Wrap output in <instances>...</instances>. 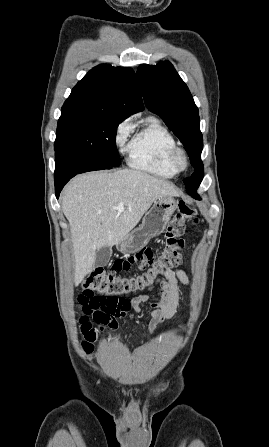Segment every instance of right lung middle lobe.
I'll return each instance as SVG.
<instances>
[{"mask_svg":"<svg viewBox=\"0 0 269 447\" xmlns=\"http://www.w3.org/2000/svg\"><path fill=\"white\" fill-rule=\"evenodd\" d=\"M118 120L108 117L61 116L58 121L54 150L64 155L106 166H119L115 136Z\"/></svg>","mask_w":269,"mask_h":447,"instance_id":"obj_1","label":"right lung middle lobe"}]
</instances>
